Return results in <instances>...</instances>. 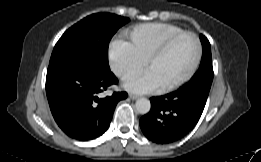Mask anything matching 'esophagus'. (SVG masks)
<instances>
[{
    "instance_id": "1",
    "label": "esophagus",
    "mask_w": 261,
    "mask_h": 162,
    "mask_svg": "<svg viewBox=\"0 0 261 162\" xmlns=\"http://www.w3.org/2000/svg\"><path fill=\"white\" fill-rule=\"evenodd\" d=\"M129 98L132 99V100H136V99H138V96L133 95V94H129Z\"/></svg>"
}]
</instances>
